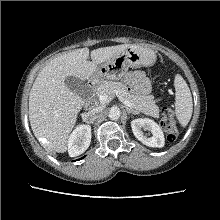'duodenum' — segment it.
<instances>
[{
    "label": "duodenum",
    "mask_w": 220,
    "mask_h": 220,
    "mask_svg": "<svg viewBox=\"0 0 220 220\" xmlns=\"http://www.w3.org/2000/svg\"><path fill=\"white\" fill-rule=\"evenodd\" d=\"M88 89H89V96H90V104L89 106L94 107L96 102L94 100L95 97V89H96V82L94 80H90L88 82Z\"/></svg>",
    "instance_id": "duodenum-1"
}]
</instances>
